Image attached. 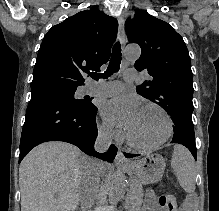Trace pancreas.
I'll return each mask as SVG.
<instances>
[{
  "label": "pancreas",
  "instance_id": "cf45deb5",
  "mask_svg": "<svg viewBox=\"0 0 219 211\" xmlns=\"http://www.w3.org/2000/svg\"><path fill=\"white\" fill-rule=\"evenodd\" d=\"M132 192H129L127 199V211H140L142 207L143 189L139 187L131 186Z\"/></svg>",
  "mask_w": 219,
  "mask_h": 211
}]
</instances>
